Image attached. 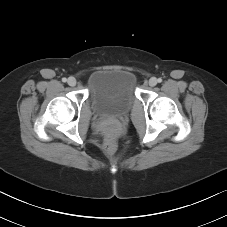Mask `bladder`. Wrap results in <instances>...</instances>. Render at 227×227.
<instances>
[{"instance_id":"31cf9c89","label":"bladder","mask_w":227,"mask_h":227,"mask_svg":"<svg viewBox=\"0 0 227 227\" xmlns=\"http://www.w3.org/2000/svg\"><path fill=\"white\" fill-rule=\"evenodd\" d=\"M135 78L121 69L97 70L88 81L89 99L96 114L116 117L126 114L135 101Z\"/></svg>"}]
</instances>
